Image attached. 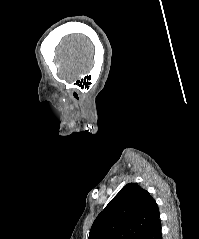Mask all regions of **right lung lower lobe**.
Here are the masks:
<instances>
[{
    "instance_id": "right-lung-lower-lobe-1",
    "label": "right lung lower lobe",
    "mask_w": 199,
    "mask_h": 239,
    "mask_svg": "<svg viewBox=\"0 0 199 239\" xmlns=\"http://www.w3.org/2000/svg\"><path fill=\"white\" fill-rule=\"evenodd\" d=\"M140 239H162L160 219Z\"/></svg>"
}]
</instances>
